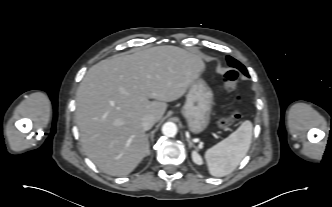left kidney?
<instances>
[{
    "label": "left kidney",
    "mask_w": 332,
    "mask_h": 207,
    "mask_svg": "<svg viewBox=\"0 0 332 207\" xmlns=\"http://www.w3.org/2000/svg\"><path fill=\"white\" fill-rule=\"evenodd\" d=\"M192 160L194 163L201 165L203 164V160L202 157L199 155V153L197 151H192Z\"/></svg>",
    "instance_id": "obj_1"
}]
</instances>
